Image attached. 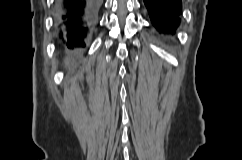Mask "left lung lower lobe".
I'll use <instances>...</instances> for the list:
<instances>
[{"instance_id":"0a47b994","label":"left lung lower lobe","mask_w":242,"mask_h":160,"mask_svg":"<svg viewBox=\"0 0 242 160\" xmlns=\"http://www.w3.org/2000/svg\"><path fill=\"white\" fill-rule=\"evenodd\" d=\"M144 3L156 29L174 34L180 23L181 0H144Z\"/></svg>"}]
</instances>
